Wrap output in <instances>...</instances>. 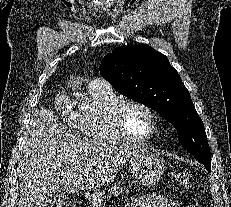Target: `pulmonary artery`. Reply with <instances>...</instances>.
Returning a JSON list of instances; mask_svg holds the SVG:
<instances>
[{
	"mask_svg": "<svg viewBox=\"0 0 231 207\" xmlns=\"http://www.w3.org/2000/svg\"><path fill=\"white\" fill-rule=\"evenodd\" d=\"M90 87H109L110 84L102 78H94L89 83Z\"/></svg>",
	"mask_w": 231,
	"mask_h": 207,
	"instance_id": "pulmonary-artery-1",
	"label": "pulmonary artery"
}]
</instances>
